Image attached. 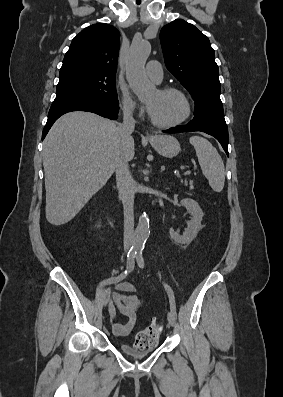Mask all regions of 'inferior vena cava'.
Instances as JSON below:
<instances>
[{"label":"inferior vena cava","instance_id":"obj_1","mask_svg":"<svg viewBox=\"0 0 283 397\" xmlns=\"http://www.w3.org/2000/svg\"><path fill=\"white\" fill-rule=\"evenodd\" d=\"M135 128L133 109L123 107V122L119 124V130L123 140L131 137ZM116 177L119 181V196L124 211V248H129L134 240V191L131 187V173L125 153H122L116 163Z\"/></svg>","mask_w":283,"mask_h":397}]
</instances>
